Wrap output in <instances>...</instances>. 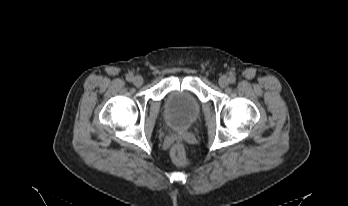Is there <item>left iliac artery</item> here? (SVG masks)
Instances as JSON below:
<instances>
[{"instance_id":"obj_1","label":"left iliac artery","mask_w":348,"mask_h":206,"mask_svg":"<svg viewBox=\"0 0 348 206\" xmlns=\"http://www.w3.org/2000/svg\"><path fill=\"white\" fill-rule=\"evenodd\" d=\"M235 81H236V78H235L233 75H231V76L229 77V82H230L231 84H233V83H235Z\"/></svg>"}]
</instances>
